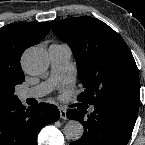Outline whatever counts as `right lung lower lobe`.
Here are the masks:
<instances>
[{
	"instance_id": "obj_1",
	"label": "right lung lower lobe",
	"mask_w": 145,
	"mask_h": 145,
	"mask_svg": "<svg viewBox=\"0 0 145 145\" xmlns=\"http://www.w3.org/2000/svg\"><path fill=\"white\" fill-rule=\"evenodd\" d=\"M60 117L56 106L40 103L25 108L20 100L0 105V145H37L43 126Z\"/></svg>"
}]
</instances>
